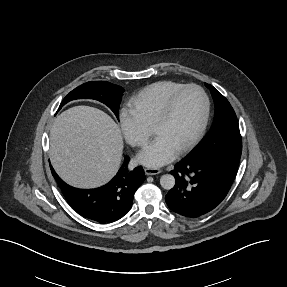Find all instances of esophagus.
<instances>
[{"instance_id": "34e87169", "label": "esophagus", "mask_w": 287, "mask_h": 287, "mask_svg": "<svg viewBox=\"0 0 287 287\" xmlns=\"http://www.w3.org/2000/svg\"><path fill=\"white\" fill-rule=\"evenodd\" d=\"M161 172L158 168H145L146 175H157Z\"/></svg>"}]
</instances>
